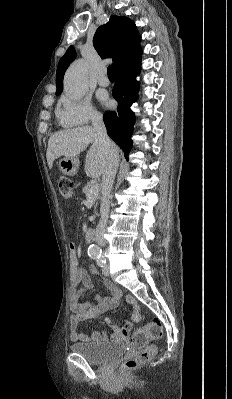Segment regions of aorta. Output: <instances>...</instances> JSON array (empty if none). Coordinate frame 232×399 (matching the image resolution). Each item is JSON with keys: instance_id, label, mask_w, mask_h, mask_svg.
<instances>
[{"instance_id": "762f6f07", "label": "aorta", "mask_w": 232, "mask_h": 399, "mask_svg": "<svg viewBox=\"0 0 232 399\" xmlns=\"http://www.w3.org/2000/svg\"><path fill=\"white\" fill-rule=\"evenodd\" d=\"M88 65L85 60L75 61L67 70L64 76V92L69 98L78 100L82 98L88 89ZM88 253L92 256L101 254V250L96 245L88 248Z\"/></svg>"}]
</instances>
